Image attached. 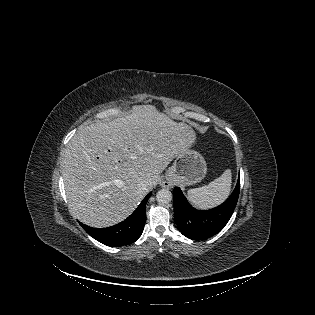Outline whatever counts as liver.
I'll return each mask as SVG.
<instances>
[{
	"label": "liver",
	"instance_id": "1",
	"mask_svg": "<svg viewBox=\"0 0 315 315\" xmlns=\"http://www.w3.org/2000/svg\"><path fill=\"white\" fill-rule=\"evenodd\" d=\"M196 141L194 130L158 112L137 106L130 115L79 129L65 148L62 177L72 215L92 227L128 217L160 174Z\"/></svg>",
	"mask_w": 315,
	"mask_h": 315
}]
</instances>
